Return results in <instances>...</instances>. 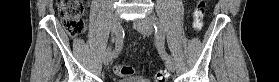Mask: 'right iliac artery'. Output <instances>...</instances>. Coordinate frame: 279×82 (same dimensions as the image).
Returning a JSON list of instances; mask_svg holds the SVG:
<instances>
[{
    "mask_svg": "<svg viewBox=\"0 0 279 82\" xmlns=\"http://www.w3.org/2000/svg\"><path fill=\"white\" fill-rule=\"evenodd\" d=\"M121 37V28L118 30L117 34H116V38H115V48L112 52V57L113 58H117V56L119 55V53L122 50V41L120 40Z\"/></svg>",
    "mask_w": 279,
    "mask_h": 82,
    "instance_id": "82829eb1",
    "label": "right iliac artery"
}]
</instances>
